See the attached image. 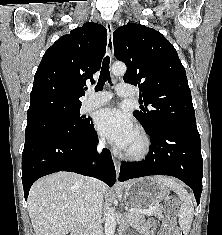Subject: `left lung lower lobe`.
<instances>
[{
    "mask_svg": "<svg viewBox=\"0 0 222 235\" xmlns=\"http://www.w3.org/2000/svg\"><path fill=\"white\" fill-rule=\"evenodd\" d=\"M148 156L136 163H122L119 181L149 175H170L186 183L197 204L202 192L203 159L198 132L169 127L149 133Z\"/></svg>",
    "mask_w": 222,
    "mask_h": 235,
    "instance_id": "0a47b994",
    "label": "left lung lower lobe"
}]
</instances>
